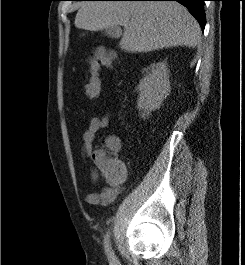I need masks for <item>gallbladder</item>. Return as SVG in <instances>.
I'll return each instance as SVG.
<instances>
[{
    "label": "gallbladder",
    "mask_w": 245,
    "mask_h": 265,
    "mask_svg": "<svg viewBox=\"0 0 245 265\" xmlns=\"http://www.w3.org/2000/svg\"><path fill=\"white\" fill-rule=\"evenodd\" d=\"M104 34L110 38L118 39L122 35V30L119 26H110L104 29Z\"/></svg>",
    "instance_id": "gallbladder-1"
}]
</instances>
